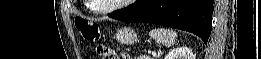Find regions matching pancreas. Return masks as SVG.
Returning <instances> with one entry per match:
<instances>
[{"label":"pancreas","mask_w":261,"mask_h":59,"mask_svg":"<svg viewBox=\"0 0 261 59\" xmlns=\"http://www.w3.org/2000/svg\"><path fill=\"white\" fill-rule=\"evenodd\" d=\"M138 59H151V57L145 54V55H140Z\"/></svg>","instance_id":"cf45deb5"}]
</instances>
